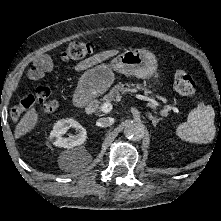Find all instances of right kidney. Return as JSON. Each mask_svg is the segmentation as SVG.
I'll return each mask as SVG.
<instances>
[{"mask_svg": "<svg viewBox=\"0 0 221 221\" xmlns=\"http://www.w3.org/2000/svg\"><path fill=\"white\" fill-rule=\"evenodd\" d=\"M74 128L78 133L64 137L69 128ZM86 130L75 120L65 119L58 121L50 133V140L57 147L71 149L75 146L83 144L86 140Z\"/></svg>", "mask_w": 221, "mask_h": 221, "instance_id": "right-kidney-1", "label": "right kidney"}]
</instances>
